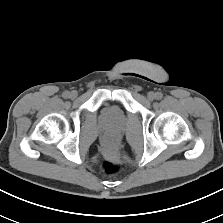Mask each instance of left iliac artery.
Returning <instances> with one entry per match:
<instances>
[{
  "label": "left iliac artery",
  "mask_w": 223,
  "mask_h": 223,
  "mask_svg": "<svg viewBox=\"0 0 223 223\" xmlns=\"http://www.w3.org/2000/svg\"><path fill=\"white\" fill-rule=\"evenodd\" d=\"M163 97V94L161 92L156 93V99H161Z\"/></svg>",
  "instance_id": "obj_1"
}]
</instances>
